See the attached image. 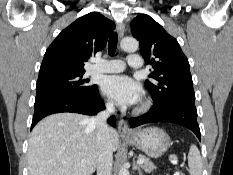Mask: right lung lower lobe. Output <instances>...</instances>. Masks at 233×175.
I'll list each match as a JSON object with an SVG mask.
<instances>
[{
	"instance_id": "1",
	"label": "right lung lower lobe",
	"mask_w": 233,
	"mask_h": 175,
	"mask_svg": "<svg viewBox=\"0 0 233 175\" xmlns=\"http://www.w3.org/2000/svg\"><path fill=\"white\" fill-rule=\"evenodd\" d=\"M105 105L99 95L97 86L85 94H54L35 99V111L31 129L44 117L60 112H73L85 115H95L103 110ZM108 123L115 127L116 119L111 116Z\"/></svg>"
}]
</instances>
